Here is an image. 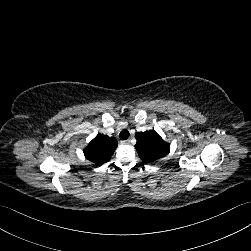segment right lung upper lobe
<instances>
[{
    "label": "right lung upper lobe",
    "instance_id": "obj_1",
    "mask_svg": "<svg viewBox=\"0 0 251 251\" xmlns=\"http://www.w3.org/2000/svg\"><path fill=\"white\" fill-rule=\"evenodd\" d=\"M117 145L115 138L98 134L84 149V155L95 165H102L111 159Z\"/></svg>",
    "mask_w": 251,
    "mask_h": 251
}]
</instances>
